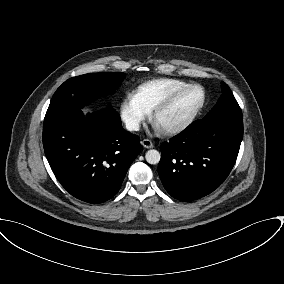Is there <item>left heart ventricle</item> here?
<instances>
[{"instance_id": "1", "label": "left heart ventricle", "mask_w": 284, "mask_h": 284, "mask_svg": "<svg viewBox=\"0 0 284 284\" xmlns=\"http://www.w3.org/2000/svg\"><path fill=\"white\" fill-rule=\"evenodd\" d=\"M201 100L202 92L200 89H189L167 111L157 118V126L165 127L185 119L200 104Z\"/></svg>"}]
</instances>
